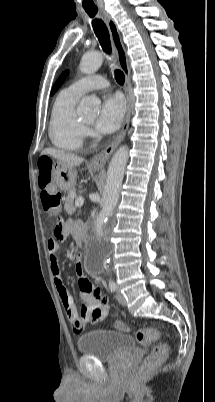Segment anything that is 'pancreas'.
Returning a JSON list of instances; mask_svg holds the SVG:
<instances>
[{"instance_id": "cf45deb5", "label": "pancreas", "mask_w": 215, "mask_h": 402, "mask_svg": "<svg viewBox=\"0 0 215 402\" xmlns=\"http://www.w3.org/2000/svg\"><path fill=\"white\" fill-rule=\"evenodd\" d=\"M74 193H75V189H70L68 191V196L66 198V202L64 205V210L68 213V214H72L75 211V207H74Z\"/></svg>"}]
</instances>
